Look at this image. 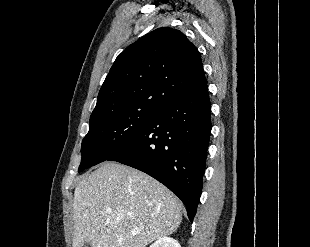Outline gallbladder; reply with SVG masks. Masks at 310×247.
Wrapping results in <instances>:
<instances>
[{"mask_svg": "<svg viewBox=\"0 0 310 247\" xmlns=\"http://www.w3.org/2000/svg\"><path fill=\"white\" fill-rule=\"evenodd\" d=\"M81 247H91V242L85 241Z\"/></svg>", "mask_w": 310, "mask_h": 247, "instance_id": "1", "label": "gallbladder"}]
</instances>
